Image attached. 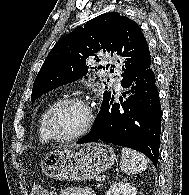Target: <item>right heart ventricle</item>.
<instances>
[{"label":"right heart ventricle","mask_w":189,"mask_h":195,"mask_svg":"<svg viewBox=\"0 0 189 195\" xmlns=\"http://www.w3.org/2000/svg\"><path fill=\"white\" fill-rule=\"evenodd\" d=\"M58 100H53L51 101L45 108L44 110L41 112V114L39 115L38 118V123H37V132H38V136L39 139L44 142L47 143L49 141H51V138L48 136L46 129H45V117L46 114L48 112V110L50 109V107Z\"/></svg>","instance_id":"right-heart-ventricle-1"}]
</instances>
